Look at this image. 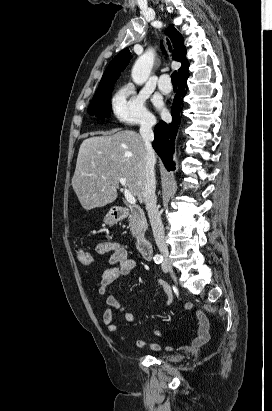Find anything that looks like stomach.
I'll use <instances>...</instances> for the list:
<instances>
[{
    "label": "stomach",
    "instance_id": "obj_1",
    "mask_svg": "<svg viewBox=\"0 0 272 411\" xmlns=\"http://www.w3.org/2000/svg\"><path fill=\"white\" fill-rule=\"evenodd\" d=\"M104 221L108 225H113L117 222V219H115L113 216L108 214L105 216Z\"/></svg>",
    "mask_w": 272,
    "mask_h": 411
}]
</instances>
